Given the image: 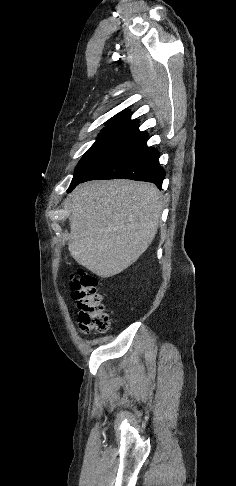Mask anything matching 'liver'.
<instances>
[{
    "mask_svg": "<svg viewBox=\"0 0 236 486\" xmlns=\"http://www.w3.org/2000/svg\"><path fill=\"white\" fill-rule=\"evenodd\" d=\"M70 205L72 257L108 278L131 266L152 243L163 200L153 184L118 179L80 184Z\"/></svg>",
    "mask_w": 236,
    "mask_h": 486,
    "instance_id": "1",
    "label": "liver"
}]
</instances>
